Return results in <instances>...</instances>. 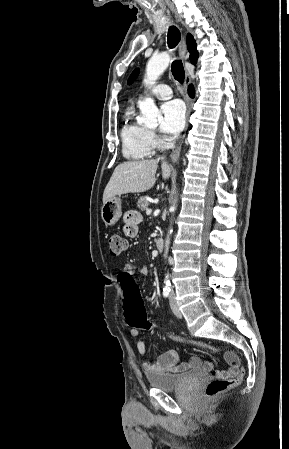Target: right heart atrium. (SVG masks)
Wrapping results in <instances>:
<instances>
[{"label":"right heart atrium","mask_w":289,"mask_h":449,"mask_svg":"<svg viewBox=\"0 0 289 449\" xmlns=\"http://www.w3.org/2000/svg\"><path fill=\"white\" fill-rule=\"evenodd\" d=\"M148 136L152 146H156L159 143L158 137L153 131H148Z\"/></svg>","instance_id":"right-heart-atrium-1"}]
</instances>
